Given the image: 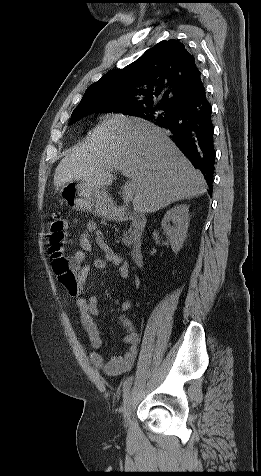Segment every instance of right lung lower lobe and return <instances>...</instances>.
Instances as JSON below:
<instances>
[{
	"instance_id": "98d812e1",
	"label": "right lung lower lobe",
	"mask_w": 261,
	"mask_h": 476,
	"mask_svg": "<svg viewBox=\"0 0 261 476\" xmlns=\"http://www.w3.org/2000/svg\"><path fill=\"white\" fill-rule=\"evenodd\" d=\"M211 114L204 88L191 101L173 108L168 117L154 121L171 131L173 142L193 166L201 170L208 184H212L216 154Z\"/></svg>"
}]
</instances>
